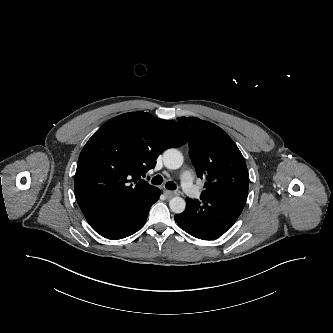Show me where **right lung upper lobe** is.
I'll use <instances>...</instances> for the list:
<instances>
[{
	"instance_id": "cb5924a9",
	"label": "right lung upper lobe",
	"mask_w": 333,
	"mask_h": 333,
	"mask_svg": "<svg viewBox=\"0 0 333 333\" xmlns=\"http://www.w3.org/2000/svg\"><path fill=\"white\" fill-rule=\"evenodd\" d=\"M187 140L177 122L145 112L125 113L107 121L88 140L78 159L74 190L82 212L145 200L156 187L141 176L154 167L162 151Z\"/></svg>"
}]
</instances>
